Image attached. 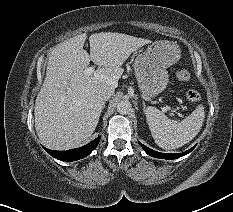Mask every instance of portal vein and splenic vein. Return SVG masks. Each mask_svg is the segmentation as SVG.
I'll use <instances>...</instances> for the list:
<instances>
[{
  "instance_id": "obj_1",
  "label": "portal vein and splenic vein",
  "mask_w": 233,
  "mask_h": 212,
  "mask_svg": "<svg viewBox=\"0 0 233 212\" xmlns=\"http://www.w3.org/2000/svg\"><path fill=\"white\" fill-rule=\"evenodd\" d=\"M95 68L94 67H88L84 70V74L85 75H91L94 72ZM168 110H171V108L169 106H163L162 107V111L163 112H167Z\"/></svg>"
}]
</instances>
